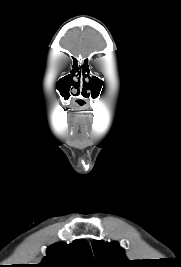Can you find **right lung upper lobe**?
Returning a JSON list of instances; mask_svg holds the SVG:
<instances>
[{
	"label": "right lung upper lobe",
	"instance_id": "obj_1",
	"mask_svg": "<svg viewBox=\"0 0 181 267\" xmlns=\"http://www.w3.org/2000/svg\"><path fill=\"white\" fill-rule=\"evenodd\" d=\"M93 256L91 248L84 239L71 244L55 243L47 248V256L38 267H91Z\"/></svg>",
	"mask_w": 181,
	"mask_h": 267
}]
</instances>
